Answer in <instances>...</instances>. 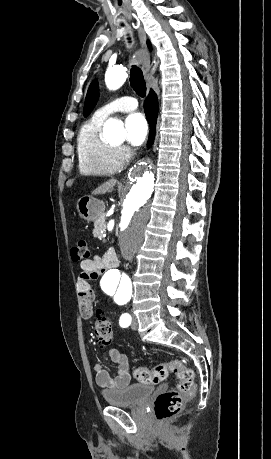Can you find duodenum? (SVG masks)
Listing matches in <instances>:
<instances>
[{
  "mask_svg": "<svg viewBox=\"0 0 271 459\" xmlns=\"http://www.w3.org/2000/svg\"><path fill=\"white\" fill-rule=\"evenodd\" d=\"M108 264L112 268H114V267H116L118 265V262H117L116 258L113 255H111L109 257Z\"/></svg>",
  "mask_w": 271,
  "mask_h": 459,
  "instance_id": "1",
  "label": "duodenum"
}]
</instances>
